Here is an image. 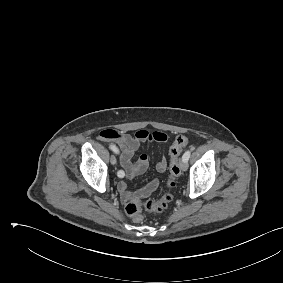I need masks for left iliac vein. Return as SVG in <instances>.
<instances>
[{
    "label": "left iliac vein",
    "instance_id": "left-iliac-vein-1",
    "mask_svg": "<svg viewBox=\"0 0 283 283\" xmlns=\"http://www.w3.org/2000/svg\"><path fill=\"white\" fill-rule=\"evenodd\" d=\"M180 168H181V170L186 171V170L188 169V163H187V161L182 160V161L180 162Z\"/></svg>",
    "mask_w": 283,
    "mask_h": 283
}]
</instances>
